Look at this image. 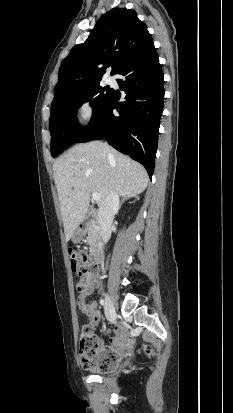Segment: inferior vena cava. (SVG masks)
<instances>
[{
	"mask_svg": "<svg viewBox=\"0 0 233 413\" xmlns=\"http://www.w3.org/2000/svg\"><path fill=\"white\" fill-rule=\"evenodd\" d=\"M119 195L115 191H110L103 204L99 207L98 221L100 234L103 243H107L111 236V224L114 215L119 210Z\"/></svg>",
	"mask_w": 233,
	"mask_h": 413,
	"instance_id": "obj_1",
	"label": "inferior vena cava"
}]
</instances>
